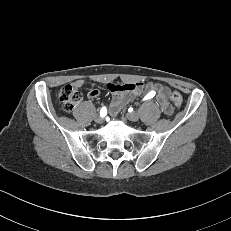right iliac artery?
I'll list each match as a JSON object with an SVG mask.
<instances>
[{"label": "right iliac artery", "instance_id": "82829eb1", "mask_svg": "<svg viewBox=\"0 0 231 231\" xmlns=\"http://www.w3.org/2000/svg\"><path fill=\"white\" fill-rule=\"evenodd\" d=\"M106 115H107L106 107H103V108L100 110V116H101V117H105Z\"/></svg>", "mask_w": 231, "mask_h": 231}]
</instances>
